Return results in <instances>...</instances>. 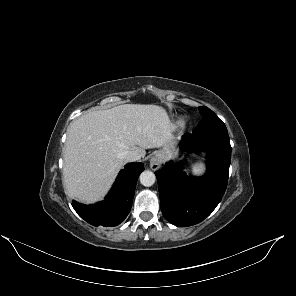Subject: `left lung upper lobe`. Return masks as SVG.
Wrapping results in <instances>:
<instances>
[{"mask_svg":"<svg viewBox=\"0 0 296 296\" xmlns=\"http://www.w3.org/2000/svg\"><path fill=\"white\" fill-rule=\"evenodd\" d=\"M203 119L193 130V133H204L210 131H227L225 124L209 108L199 107Z\"/></svg>","mask_w":296,"mask_h":296,"instance_id":"1","label":"left lung upper lobe"}]
</instances>
